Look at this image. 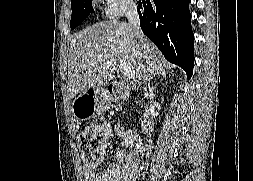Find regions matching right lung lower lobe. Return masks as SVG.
<instances>
[{"instance_id": "obj_1", "label": "right lung lower lobe", "mask_w": 253, "mask_h": 181, "mask_svg": "<svg viewBox=\"0 0 253 181\" xmlns=\"http://www.w3.org/2000/svg\"><path fill=\"white\" fill-rule=\"evenodd\" d=\"M137 10L143 33L169 62L183 68L190 79L194 65V37L189 0H142Z\"/></svg>"}]
</instances>
